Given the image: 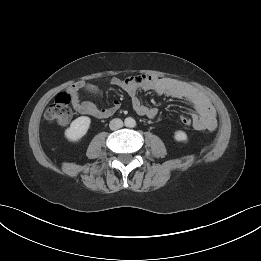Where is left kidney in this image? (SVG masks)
I'll return each instance as SVG.
<instances>
[{
	"instance_id": "left-kidney-1",
	"label": "left kidney",
	"mask_w": 261,
	"mask_h": 261,
	"mask_svg": "<svg viewBox=\"0 0 261 261\" xmlns=\"http://www.w3.org/2000/svg\"><path fill=\"white\" fill-rule=\"evenodd\" d=\"M174 139L178 142H186L188 137L184 131L178 130L174 134Z\"/></svg>"
}]
</instances>
